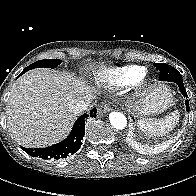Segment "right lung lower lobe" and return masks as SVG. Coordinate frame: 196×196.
<instances>
[{
    "label": "right lung lower lobe",
    "instance_id": "98d812e1",
    "mask_svg": "<svg viewBox=\"0 0 196 196\" xmlns=\"http://www.w3.org/2000/svg\"><path fill=\"white\" fill-rule=\"evenodd\" d=\"M25 73V72H24ZM23 74V72L21 73ZM20 74V75H21ZM19 75V76H20ZM97 110L94 108L90 114H83L75 122L70 135L60 143L46 148H22L27 154L43 159H60L76 153L81 146L84 137L85 122L88 117H96Z\"/></svg>",
    "mask_w": 196,
    "mask_h": 196
}]
</instances>
